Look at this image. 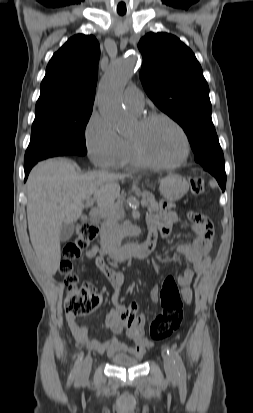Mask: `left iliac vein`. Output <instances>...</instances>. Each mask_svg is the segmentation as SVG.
I'll use <instances>...</instances> for the list:
<instances>
[{
  "instance_id": "left-iliac-vein-1",
  "label": "left iliac vein",
  "mask_w": 253,
  "mask_h": 413,
  "mask_svg": "<svg viewBox=\"0 0 253 413\" xmlns=\"http://www.w3.org/2000/svg\"><path fill=\"white\" fill-rule=\"evenodd\" d=\"M162 357H163L164 369H165L167 377L169 379H176L177 369H176L175 364L173 363V360L166 353H163Z\"/></svg>"
}]
</instances>
